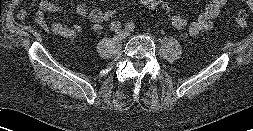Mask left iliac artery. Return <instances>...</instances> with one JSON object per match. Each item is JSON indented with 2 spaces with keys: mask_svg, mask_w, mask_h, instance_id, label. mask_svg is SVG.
Masks as SVG:
<instances>
[{
  "mask_svg": "<svg viewBox=\"0 0 253 131\" xmlns=\"http://www.w3.org/2000/svg\"><path fill=\"white\" fill-rule=\"evenodd\" d=\"M125 28L128 31H133L134 28H135V24L133 22H129V23L126 24Z\"/></svg>",
  "mask_w": 253,
  "mask_h": 131,
  "instance_id": "left-iliac-artery-1",
  "label": "left iliac artery"
}]
</instances>
